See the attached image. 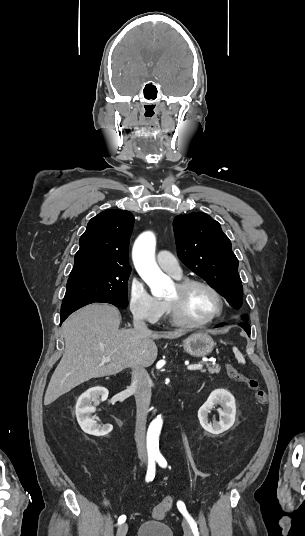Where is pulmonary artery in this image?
Returning a JSON list of instances; mask_svg holds the SVG:
<instances>
[{
    "mask_svg": "<svg viewBox=\"0 0 305 536\" xmlns=\"http://www.w3.org/2000/svg\"><path fill=\"white\" fill-rule=\"evenodd\" d=\"M158 265L174 278L182 277V269L175 257L168 251L161 250L156 255Z\"/></svg>",
    "mask_w": 305,
    "mask_h": 536,
    "instance_id": "pulmonary-artery-1",
    "label": "pulmonary artery"
}]
</instances>
